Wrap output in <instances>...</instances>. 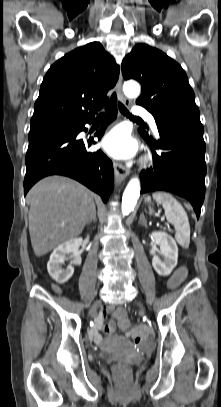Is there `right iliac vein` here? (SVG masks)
<instances>
[{
    "instance_id": "right-iliac-vein-1",
    "label": "right iliac vein",
    "mask_w": 221,
    "mask_h": 407,
    "mask_svg": "<svg viewBox=\"0 0 221 407\" xmlns=\"http://www.w3.org/2000/svg\"><path fill=\"white\" fill-rule=\"evenodd\" d=\"M99 304H100V301H96L95 304H94L93 310H96V308L99 306Z\"/></svg>"
}]
</instances>
